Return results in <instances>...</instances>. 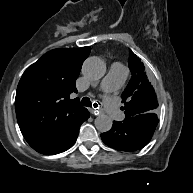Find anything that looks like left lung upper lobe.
<instances>
[{
	"label": "left lung upper lobe",
	"instance_id": "1",
	"mask_svg": "<svg viewBox=\"0 0 193 193\" xmlns=\"http://www.w3.org/2000/svg\"><path fill=\"white\" fill-rule=\"evenodd\" d=\"M129 68L132 78L122 93V102L125 103L126 118L140 116L141 118L157 117V96L149 82L142 62L130 51Z\"/></svg>",
	"mask_w": 193,
	"mask_h": 193
}]
</instances>
